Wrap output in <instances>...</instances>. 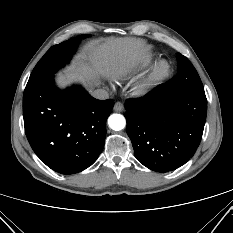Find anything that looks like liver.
<instances>
[{
    "mask_svg": "<svg viewBox=\"0 0 233 233\" xmlns=\"http://www.w3.org/2000/svg\"><path fill=\"white\" fill-rule=\"evenodd\" d=\"M149 49L139 38H110L101 44L92 42L86 47L84 59H77L65 75L60 74L57 83L64 87L81 81L89 88L98 75L125 77L147 59Z\"/></svg>",
    "mask_w": 233,
    "mask_h": 233,
    "instance_id": "6515ba94",
    "label": "liver"
}]
</instances>
